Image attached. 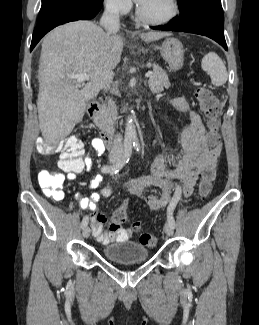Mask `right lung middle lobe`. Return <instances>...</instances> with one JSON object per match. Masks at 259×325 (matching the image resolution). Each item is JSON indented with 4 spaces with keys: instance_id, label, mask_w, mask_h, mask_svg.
<instances>
[{
    "instance_id": "dd1d6c3e",
    "label": "right lung middle lobe",
    "mask_w": 259,
    "mask_h": 325,
    "mask_svg": "<svg viewBox=\"0 0 259 325\" xmlns=\"http://www.w3.org/2000/svg\"><path fill=\"white\" fill-rule=\"evenodd\" d=\"M66 3H94L96 5L102 4L103 0H42V6L39 16L43 15L47 10Z\"/></svg>"
}]
</instances>
